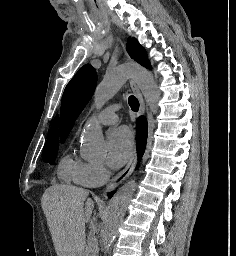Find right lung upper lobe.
Here are the masks:
<instances>
[{
  "label": "right lung upper lobe",
  "instance_id": "1",
  "mask_svg": "<svg viewBox=\"0 0 236 256\" xmlns=\"http://www.w3.org/2000/svg\"><path fill=\"white\" fill-rule=\"evenodd\" d=\"M57 127H58V115L56 116V118L53 121V124L50 129V133H49V136H48V139L46 142H59Z\"/></svg>",
  "mask_w": 236,
  "mask_h": 256
}]
</instances>
